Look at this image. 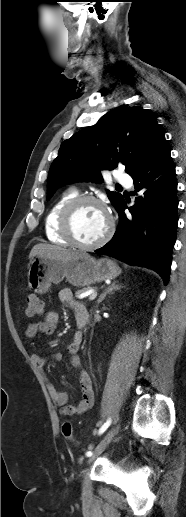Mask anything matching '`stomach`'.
<instances>
[{
  "mask_svg": "<svg viewBox=\"0 0 186 517\" xmlns=\"http://www.w3.org/2000/svg\"><path fill=\"white\" fill-rule=\"evenodd\" d=\"M121 273L116 263L108 258L99 260L83 257L58 260L37 257L31 260L28 272L29 288L36 293H46L51 283L58 284L64 278L77 287L111 280Z\"/></svg>",
  "mask_w": 186,
  "mask_h": 517,
  "instance_id": "1",
  "label": "stomach"
}]
</instances>
